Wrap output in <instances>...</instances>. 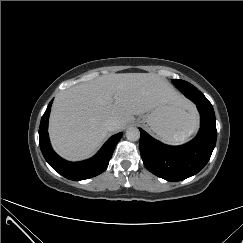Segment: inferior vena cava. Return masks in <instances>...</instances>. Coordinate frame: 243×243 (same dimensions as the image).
<instances>
[{
    "label": "inferior vena cava",
    "instance_id": "602c4592",
    "mask_svg": "<svg viewBox=\"0 0 243 243\" xmlns=\"http://www.w3.org/2000/svg\"><path fill=\"white\" fill-rule=\"evenodd\" d=\"M106 128L108 131H116L119 128V121L115 118H111L106 121Z\"/></svg>",
    "mask_w": 243,
    "mask_h": 243
}]
</instances>
